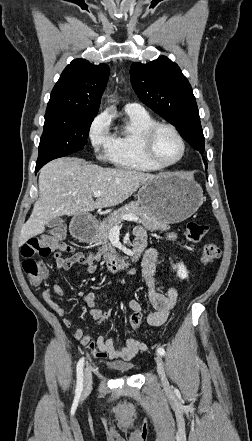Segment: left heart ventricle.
Instances as JSON below:
<instances>
[{
	"mask_svg": "<svg viewBox=\"0 0 252 441\" xmlns=\"http://www.w3.org/2000/svg\"><path fill=\"white\" fill-rule=\"evenodd\" d=\"M154 152L161 162L169 163L180 156L181 144L172 132L161 129L154 139Z\"/></svg>",
	"mask_w": 252,
	"mask_h": 441,
	"instance_id": "b2bd125f",
	"label": "left heart ventricle"
}]
</instances>
